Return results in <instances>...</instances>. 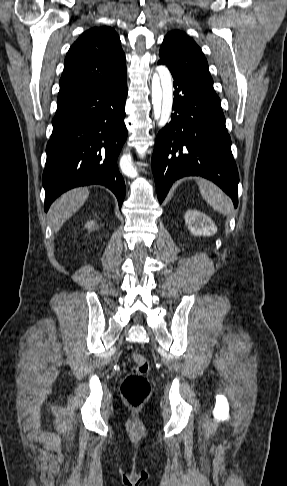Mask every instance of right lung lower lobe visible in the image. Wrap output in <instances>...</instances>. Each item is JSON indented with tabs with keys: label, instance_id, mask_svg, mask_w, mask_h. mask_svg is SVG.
Segmentation results:
<instances>
[{
	"label": "right lung lower lobe",
	"instance_id": "right-lung-lower-lobe-1",
	"mask_svg": "<svg viewBox=\"0 0 287 486\" xmlns=\"http://www.w3.org/2000/svg\"><path fill=\"white\" fill-rule=\"evenodd\" d=\"M126 97L124 79L57 107L43 173L45 211L63 192L90 184L112 190L121 208L126 188L117 158L127 139Z\"/></svg>",
	"mask_w": 287,
	"mask_h": 486
}]
</instances>
